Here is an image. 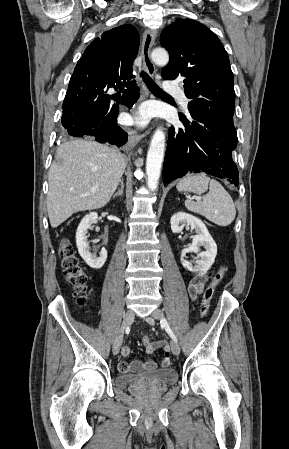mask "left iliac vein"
Wrapping results in <instances>:
<instances>
[{
	"mask_svg": "<svg viewBox=\"0 0 289 449\" xmlns=\"http://www.w3.org/2000/svg\"><path fill=\"white\" fill-rule=\"evenodd\" d=\"M163 317H164L163 312H162L160 309H155V310L151 313V315L148 316V317L146 318V321H147L150 325H154V319L161 320V319H163ZM171 351H172V353H173L174 355H179V353H180V346H179V344H178L176 341H174V340L171 341Z\"/></svg>",
	"mask_w": 289,
	"mask_h": 449,
	"instance_id": "4c4485c4",
	"label": "left iliac vein"
}]
</instances>
